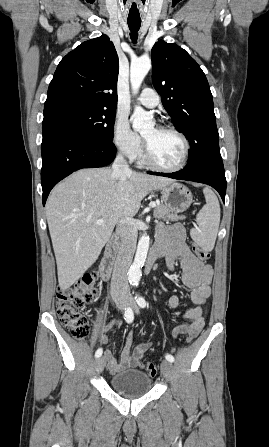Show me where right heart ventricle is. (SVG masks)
Here are the masks:
<instances>
[{"label":"right heart ventricle","mask_w":269,"mask_h":447,"mask_svg":"<svg viewBox=\"0 0 269 447\" xmlns=\"http://www.w3.org/2000/svg\"><path fill=\"white\" fill-rule=\"evenodd\" d=\"M139 158H140L141 162H144L142 153L140 154Z\"/></svg>","instance_id":"obj_1"}]
</instances>
